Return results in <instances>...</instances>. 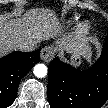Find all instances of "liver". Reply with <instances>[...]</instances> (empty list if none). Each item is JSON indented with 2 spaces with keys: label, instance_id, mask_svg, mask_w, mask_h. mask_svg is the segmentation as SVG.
I'll use <instances>...</instances> for the list:
<instances>
[{
  "label": "liver",
  "instance_id": "6515ba94",
  "mask_svg": "<svg viewBox=\"0 0 108 108\" xmlns=\"http://www.w3.org/2000/svg\"><path fill=\"white\" fill-rule=\"evenodd\" d=\"M57 17L51 10L34 8L28 10L22 18L5 21L0 19V54L18 50L20 45L34 44L48 40L60 33ZM70 53L90 57V48L85 40L69 39L60 41Z\"/></svg>",
  "mask_w": 108,
  "mask_h": 108
}]
</instances>
